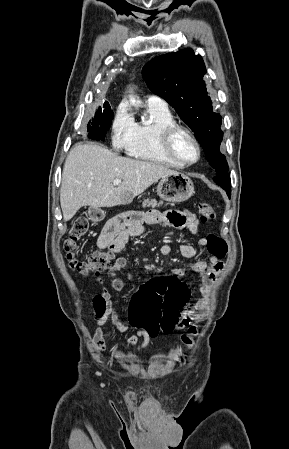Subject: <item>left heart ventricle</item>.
Listing matches in <instances>:
<instances>
[{
	"label": "left heart ventricle",
	"mask_w": 289,
	"mask_h": 449,
	"mask_svg": "<svg viewBox=\"0 0 289 449\" xmlns=\"http://www.w3.org/2000/svg\"><path fill=\"white\" fill-rule=\"evenodd\" d=\"M175 152L179 158L186 162H192L197 157V149L192 141L185 135H179L174 143Z\"/></svg>",
	"instance_id": "b2bd125f"
}]
</instances>
